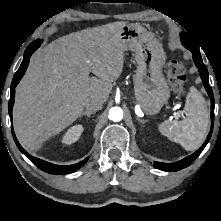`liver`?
Masks as SVG:
<instances>
[{"instance_id":"obj_1","label":"liver","mask_w":221,"mask_h":221,"mask_svg":"<svg viewBox=\"0 0 221 221\" xmlns=\"http://www.w3.org/2000/svg\"><path fill=\"white\" fill-rule=\"evenodd\" d=\"M114 22L60 37L38 51L16 88L13 123L31 150L59 134L83 112L87 99L106 102L123 71L121 31ZM96 77H90V73Z\"/></svg>"}]
</instances>
